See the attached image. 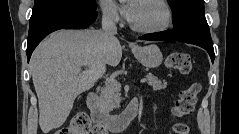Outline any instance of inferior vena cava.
<instances>
[{"instance_id":"602c4592","label":"inferior vena cava","mask_w":239,"mask_h":134,"mask_svg":"<svg viewBox=\"0 0 239 134\" xmlns=\"http://www.w3.org/2000/svg\"><path fill=\"white\" fill-rule=\"evenodd\" d=\"M102 32L109 36L110 38L114 37L117 34V27L115 23L114 14L110 10H105L102 16ZM105 69V66H103Z\"/></svg>"}]
</instances>
